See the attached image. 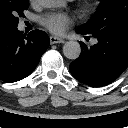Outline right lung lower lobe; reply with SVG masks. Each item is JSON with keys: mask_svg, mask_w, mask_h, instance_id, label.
<instances>
[{"mask_svg": "<svg viewBox=\"0 0 128 128\" xmlns=\"http://www.w3.org/2000/svg\"><path fill=\"white\" fill-rule=\"evenodd\" d=\"M49 47V37L41 30L27 36L16 29L0 31V80L11 83L30 75Z\"/></svg>", "mask_w": 128, "mask_h": 128, "instance_id": "obj_1", "label": "right lung lower lobe"}]
</instances>
